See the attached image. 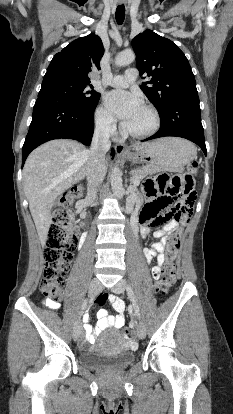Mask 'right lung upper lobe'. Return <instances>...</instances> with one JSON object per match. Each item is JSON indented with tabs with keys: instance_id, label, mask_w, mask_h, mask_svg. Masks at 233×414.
Wrapping results in <instances>:
<instances>
[{
	"instance_id": "obj_1",
	"label": "right lung upper lobe",
	"mask_w": 233,
	"mask_h": 414,
	"mask_svg": "<svg viewBox=\"0 0 233 414\" xmlns=\"http://www.w3.org/2000/svg\"><path fill=\"white\" fill-rule=\"evenodd\" d=\"M103 54L99 36L90 34L78 38L53 57L45 76H62L90 83L88 73L92 67L100 69Z\"/></svg>"
}]
</instances>
